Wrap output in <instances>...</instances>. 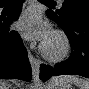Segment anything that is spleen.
<instances>
[{
	"instance_id": "1",
	"label": "spleen",
	"mask_w": 89,
	"mask_h": 89,
	"mask_svg": "<svg viewBox=\"0 0 89 89\" xmlns=\"http://www.w3.org/2000/svg\"><path fill=\"white\" fill-rule=\"evenodd\" d=\"M60 80L66 82V83H73L79 89H89V82L86 80H83L81 78L75 77V76H65L63 78H60Z\"/></svg>"
}]
</instances>
